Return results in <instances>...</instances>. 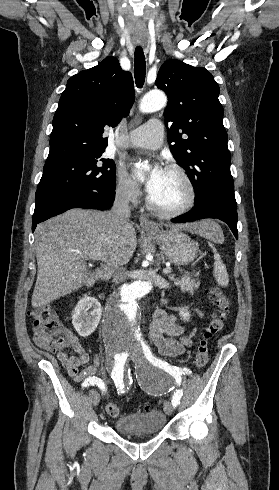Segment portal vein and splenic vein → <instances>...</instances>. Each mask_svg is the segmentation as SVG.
Instances as JSON below:
<instances>
[{"label":"portal vein and splenic vein","instance_id":"obj_1","mask_svg":"<svg viewBox=\"0 0 279 490\" xmlns=\"http://www.w3.org/2000/svg\"><path fill=\"white\" fill-rule=\"evenodd\" d=\"M98 260H103L102 256H99ZM164 274H170L171 272V268H169V266H167V268H165V270H163Z\"/></svg>","mask_w":279,"mask_h":490}]
</instances>
